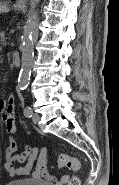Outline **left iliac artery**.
Instances as JSON below:
<instances>
[{
  "instance_id": "obj_1",
  "label": "left iliac artery",
  "mask_w": 119,
  "mask_h": 185,
  "mask_svg": "<svg viewBox=\"0 0 119 185\" xmlns=\"http://www.w3.org/2000/svg\"><path fill=\"white\" fill-rule=\"evenodd\" d=\"M32 113H33V111H32V109H31L30 107H26V108L24 109V115H25L26 117H32Z\"/></svg>"
}]
</instances>
